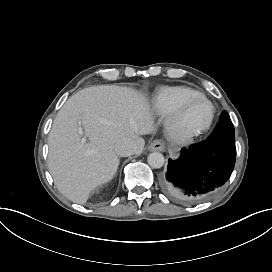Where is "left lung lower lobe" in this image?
<instances>
[{
	"mask_svg": "<svg viewBox=\"0 0 272 272\" xmlns=\"http://www.w3.org/2000/svg\"><path fill=\"white\" fill-rule=\"evenodd\" d=\"M235 145L205 141L182 150L178 160H169L161 178L164 192L181 204H196L219 192L231 176Z\"/></svg>",
	"mask_w": 272,
	"mask_h": 272,
	"instance_id": "1",
	"label": "left lung lower lobe"
}]
</instances>
